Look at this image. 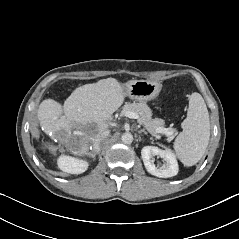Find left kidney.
Wrapping results in <instances>:
<instances>
[{
	"label": "left kidney",
	"instance_id": "obj_1",
	"mask_svg": "<svg viewBox=\"0 0 239 239\" xmlns=\"http://www.w3.org/2000/svg\"><path fill=\"white\" fill-rule=\"evenodd\" d=\"M155 156H158L166 162V166L160 168L156 167L154 164ZM141 157L144 162L146 170L157 177L169 178L177 175L178 173V163L174 153L170 150H161L154 146H145L141 150Z\"/></svg>",
	"mask_w": 239,
	"mask_h": 239
}]
</instances>
